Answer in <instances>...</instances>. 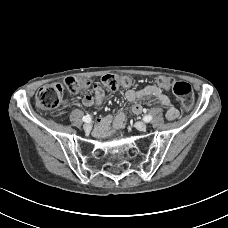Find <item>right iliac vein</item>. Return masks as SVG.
Listing matches in <instances>:
<instances>
[{
    "instance_id": "63e3f726",
    "label": "right iliac vein",
    "mask_w": 228,
    "mask_h": 228,
    "mask_svg": "<svg viewBox=\"0 0 228 228\" xmlns=\"http://www.w3.org/2000/svg\"><path fill=\"white\" fill-rule=\"evenodd\" d=\"M91 128H92V126H91L90 123H86V124L83 125V129H84L85 131H90Z\"/></svg>"
}]
</instances>
